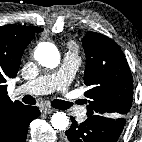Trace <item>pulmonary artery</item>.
Returning a JSON list of instances; mask_svg holds the SVG:
<instances>
[{
    "label": "pulmonary artery",
    "instance_id": "obj_1",
    "mask_svg": "<svg viewBox=\"0 0 142 142\" xmlns=\"http://www.w3.org/2000/svg\"><path fill=\"white\" fill-rule=\"evenodd\" d=\"M80 65L79 57L72 51H68L63 58L60 68L48 75L39 76L30 80L17 88V93H28L32 95L48 94L52 92H62L65 94L63 101L70 102L68 85L73 79L77 68ZM76 114L82 117L85 114L84 107H77Z\"/></svg>",
    "mask_w": 142,
    "mask_h": 142
}]
</instances>
